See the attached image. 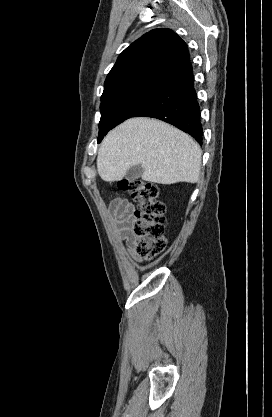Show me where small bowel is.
<instances>
[{
	"instance_id": "c3829d8e",
	"label": "small bowel",
	"mask_w": 272,
	"mask_h": 417,
	"mask_svg": "<svg viewBox=\"0 0 272 417\" xmlns=\"http://www.w3.org/2000/svg\"><path fill=\"white\" fill-rule=\"evenodd\" d=\"M134 205L126 199L115 198L107 206V212L115 224L118 237L127 244L126 253L134 260L139 261L140 255L135 250L136 240L131 231Z\"/></svg>"
}]
</instances>
